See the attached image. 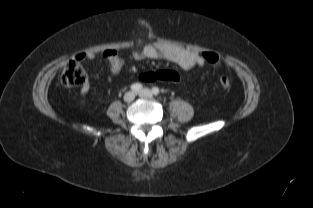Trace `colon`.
Returning <instances> with one entry per match:
<instances>
[{
  "instance_id": "5ec220e1",
  "label": "colon",
  "mask_w": 313,
  "mask_h": 208,
  "mask_svg": "<svg viewBox=\"0 0 313 208\" xmlns=\"http://www.w3.org/2000/svg\"><path fill=\"white\" fill-rule=\"evenodd\" d=\"M204 61L213 66L219 65V56L214 52H203L200 54ZM141 80L146 82H170L177 84L180 76L173 70H153L140 75ZM62 83L66 87H81L86 84V75L80 61L73 60L68 63L62 74ZM219 83L223 89H230L231 79L227 75L220 77Z\"/></svg>"
}]
</instances>
